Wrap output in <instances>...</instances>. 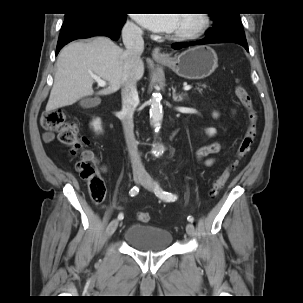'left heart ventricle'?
I'll return each instance as SVG.
<instances>
[{
    "instance_id": "obj_1",
    "label": "left heart ventricle",
    "mask_w": 303,
    "mask_h": 303,
    "mask_svg": "<svg viewBox=\"0 0 303 303\" xmlns=\"http://www.w3.org/2000/svg\"><path fill=\"white\" fill-rule=\"evenodd\" d=\"M198 24V19L193 14H179L178 22L176 25L175 31L191 29Z\"/></svg>"
}]
</instances>
